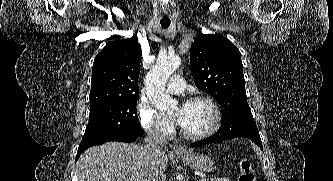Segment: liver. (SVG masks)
I'll return each instance as SVG.
<instances>
[{"label": "liver", "mask_w": 333, "mask_h": 181, "mask_svg": "<svg viewBox=\"0 0 333 181\" xmlns=\"http://www.w3.org/2000/svg\"><path fill=\"white\" fill-rule=\"evenodd\" d=\"M146 146L108 142L86 150L77 163L78 181H146L149 170ZM168 157H160L165 171Z\"/></svg>", "instance_id": "liver-1"}]
</instances>
